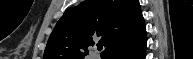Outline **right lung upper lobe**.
Returning a JSON list of instances; mask_svg holds the SVG:
<instances>
[{
  "label": "right lung upper lobe",
  "instance_id": "right-lung-upper-lobe-1",
  "mask_svg": "<svg viewBox=\"0 0 193 59\" xmlns=\"http://www.w3.org/2000/svg\"><path fill=\"white\" fill-rule=\"evenodd\" d=\"M145 31L138 0H86L68 9L57 22L44 59H84L100 38L106 58Z\"/></svg>",
  "mask_w": 193,
  "mask_h": 59
}]
</instances>
